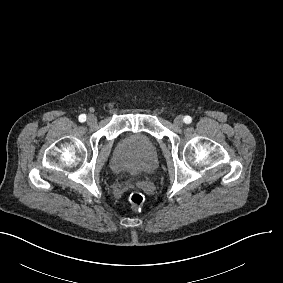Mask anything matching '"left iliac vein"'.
Segmentation results:
<instances>
[{"instance_id": "4c4485c4", "label": "left iliac vein", "mask_w": 283, "mask_h": 283, "mask_svg": "<svg viewBox=\"0 0 283 283\" xmlns=\"http://www.w3.org/2000/svg\"><path fill=\"white\" fill-rule=\"evenodd\" d=\"M184 123L183 116L179 115L174 119V125L177 127H181Z\"/></svg>"}]
</instances>
